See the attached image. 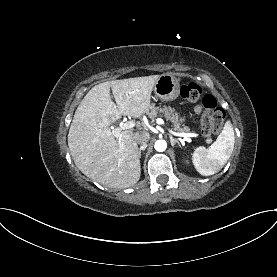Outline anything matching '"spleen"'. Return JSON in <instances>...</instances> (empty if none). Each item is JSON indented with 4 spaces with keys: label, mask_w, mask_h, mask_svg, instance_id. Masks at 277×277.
Here are the masks:
<instances>
[{
    "label": "spleen",
    "mask_w": 277,
    "mask_h": 277,
    "mask_svg": "<svg viewBox=\"0 0 277 277\" xmlns=\"http://www.w3.org/2000/svg\"><path fill=\"white\" fill-rule=\"evenodd\" d=\"M234 129L228 120L217 137L216 141L205 148L199 146L192 154V161L196 170L204 176L219 172L227 163L234 149Z\"/></svg>",
    "instance_id": "spleen-1"
}]
</instances>
